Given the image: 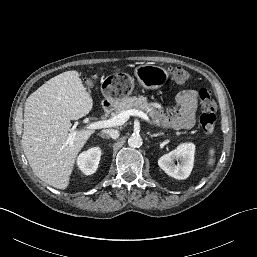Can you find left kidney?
<instances>
[{
    "mask_svg": "<svg viewBox=\"0 0 257 257\" xmlns=\"http://www.w3.org/2000/svg\"><path fill=\"white\" fill-rule=\"evenodd\" d=\"M195 145L193 143L181 144L177 149L163 155L158 160L159 167L169 176L183 180L190 175L194 164ZM175 160H179L175 164Z\"/></svg>",
    "mask_w": 257,
    "mask_h": 257,
    "instance_id": "obj_1",
    "label": "left kidney"
}]
</instances>
